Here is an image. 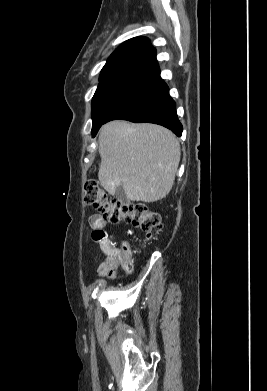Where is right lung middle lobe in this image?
Segmentation results:
<instances>
[{"instance_id": "right-lung-middle-lobe-1", "label": "right lung middle lobe", "mask_w": 267, "mask_h": 391, "mask_svg": "<svg viewBox=\"0 0 267 391\" xmlns=\"http://www.w3.org/2000/svg\"><path fill=\"white\" fill-rule=\"evenodd\" d=\"M152 79L149 76L127 74L100 78V84L92 99V135L94 136L118 106L151 82Z\"/></svg>"}]
</instances>
